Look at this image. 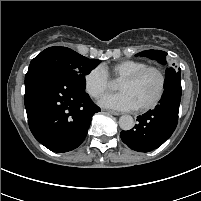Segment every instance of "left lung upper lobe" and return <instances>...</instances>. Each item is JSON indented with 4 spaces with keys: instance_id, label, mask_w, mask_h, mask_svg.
Returning <instances> with one entry per match:
<instances>
[{
    "instance_id": "5c2ea615",
    "label": "left lung upper lobe",
    "mask_w": 201,
    "mask_h": 201,
    "mask_svg": "<svg viewBox=\"0 0 201 201\" xmlns=\"http://www.w3.org/2000/svg\"><path fill=\"white\" fill-rule=\"evenodd\" d=\"M166 55L167 53L161 50H146L136 54V56H146L149 57L150 59H155L163 65L166 64ZM180 74H181L180 68L179 69H176L174 67L167 68L164 86H166L172 79L181 80Z\"/></svg>"
}]
</instances>
